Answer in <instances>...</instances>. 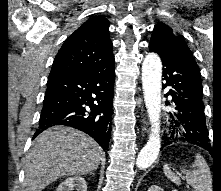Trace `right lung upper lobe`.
<instances>
[{"label": "right lung upper lobe", "instance_id": "right-lung-upper-lobe-1", "mask_svg": "<svg viewBox=\"0 0 221 191\" xmlns=\"http://www.w3.org/2000/svg\"><path fill=\"white\" fill-rule=\"evenodd\" d=\"M108 25L106 18L96 16L72 33L56 55L48 79L114 64Z\"/></svg>", "mask_w": 221, "mask_h": 191}]
</instances>
